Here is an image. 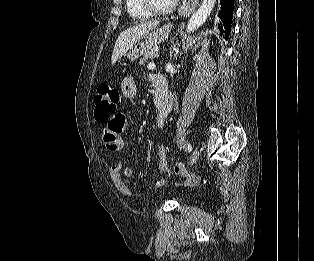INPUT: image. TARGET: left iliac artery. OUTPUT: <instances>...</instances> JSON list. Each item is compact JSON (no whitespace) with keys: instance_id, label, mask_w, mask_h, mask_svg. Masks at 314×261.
<instances>
[{"instance_id":"left-iliac-artery-1","label":"left iliac artery","mask_w":314,"mask_h":261,"mask_svg":"<svg viewBox=\"0 0 314 261\" xmlns=\"http://www.w3.org/2000/svg\"><path fill=\"white\" fill-rule=\"evenodd\" d=\"M193 149L192 145L190 143L187 144V151L191 152Z\"/></svg>"}]
</instances>
